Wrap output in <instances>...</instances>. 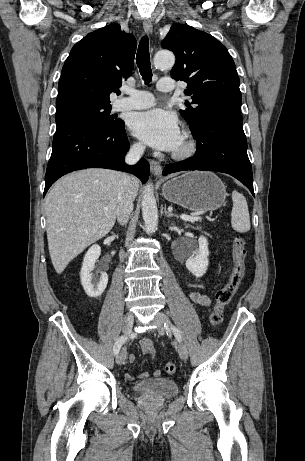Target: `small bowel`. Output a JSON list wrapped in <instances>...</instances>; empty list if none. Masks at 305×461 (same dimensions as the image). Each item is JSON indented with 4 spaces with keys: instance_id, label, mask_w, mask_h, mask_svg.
Here are the masks:
<instances>
[{
    "instance_id": "obj_1",
    "label": "small bowel",
    "mask_w": 305,
    "mask_h": 461,
    "mask_svg": "<svg viewBox=\"0 0 305 461\" xmlns=\"http://www.w3.org/2000/svg\"><path fill=\"white\" fill-rule=\"evenodd\" d=\"M189 296H190V299L194 303H196V304H198L200 306H209L212 303L211 298L208 295H206L205 293H203V292H201L199 290L191 291ZM140 345H141L142 350L145 353L149 354L151 357H155L156 350H155L153 341L151 339H149V338L142 339L141 342H140ZM135 359L136 358H135V356L133 354L129 355V361L130 362H134ZM159 375H160V370L155 369L153 371V376L157 377ZM146 376H147V373H141V374L138 375L139 378H144ZM126 378L128 380H132L134 377L132 375H130V374H126Z\"/></svg>"
}]
</instances>
